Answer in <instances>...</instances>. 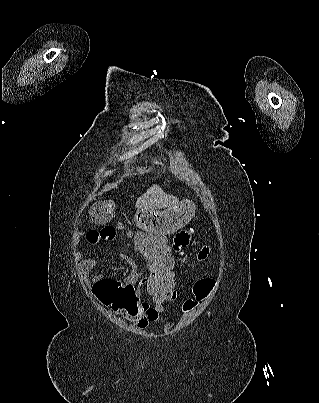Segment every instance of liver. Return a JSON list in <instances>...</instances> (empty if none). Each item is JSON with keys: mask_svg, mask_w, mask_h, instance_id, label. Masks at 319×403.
<instances>
[{"mask_svg": "<svg viewBox=\"0 0 319 403\" xmlns=\"http://www.w3.org/2000/svg\"><path fill=\"white\" fill-rule=\"evenodd\" d=\"M178 203L177 197L166 194L160 186L153 185L137 199L136 208L138 210H156L169 208Z\"/></svg>", "mask_w": 319, "mask_h": 403, "instance_id": "obj_1", "label": "liver"}]
</instances>
